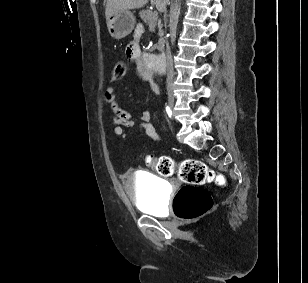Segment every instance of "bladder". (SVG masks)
I'll list each match as a JSON object with an SVG mask.
<instances>
[{
	"label": "bladder",
	"mask_w": 308,
	"mask_h": 283,
	"mask_svg": "<svg viewBox=\"0 0 308 283\" xmlns=\"http://www.w3.org/2000/svg\"><path fill=\"white\" fill-rule=\"evenodd\" d=\"M125 184L139 210L158 217L166 215V185L161 179L147 172H137L130 174Z\"/></svg>",
	"instance_id": "1"
}]
</instances>
